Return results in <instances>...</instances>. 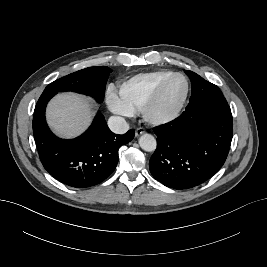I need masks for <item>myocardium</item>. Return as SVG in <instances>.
Wrapping results in <instances>:
<instances>
[{
	"mask_svg": "<svg viewBox=\"0 0 267 267\" xmlns=\"http://www.w3.org/2000/svg\"><path fill=\"white\" fill-rule=\"evenodd\" d=\"M178 77L182 78L186 84L185 92L182 99L172 110L168 112H158L157 106L166 86L171 80ZM189 91H190V83L185 75L181 73H173L169 75L159 83V85L156 87L150 98L144 104L142 108V114L144 119L147 122L155 125H162L173 121L179 116L182 109L184 108L189 96Z\"/></svg>",
	"mask_w": 267,
	"mask_h": 267,
	"instance_id": "myocardium-1",
	"label": "myocardium"
}]
</instances>
